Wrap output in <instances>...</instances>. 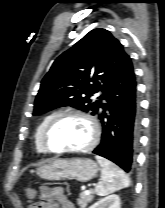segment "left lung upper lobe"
<instances>
[{
    "mask_svg": "<svg viewBox=\"0 0 165 208\" xmlns=\"http://www.w3.org/2000/svg\"><path fill=\"white\" fill-rule=\"evenodd\" d=\"M128 55L120 42L102 28L90 31L61 54L41 82L33 115L62 106L97 114L101 97Z\"/></svg>",
    "mask_w": 165,
    "mask_h": 208,
    "instance_id": "1",
    "label": "left lung upper lobe"
}]
</instances>
